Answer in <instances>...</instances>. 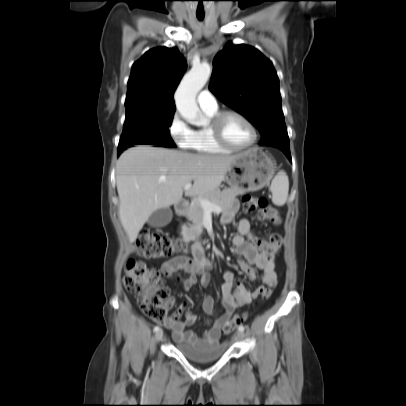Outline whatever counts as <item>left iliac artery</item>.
<instances>
[{"mask_svg":"<svg viewBox=\"0 0 406 406\" xmlns=\"http://www.w3.org/2000/svg\"><path fill=\"white\" fill-rule=\"evenodd\" d=\"M244 329H245V328H244L243 325H240V326L238 327V330H239V331H244Z\"/></svg>","mask_w":406,"mask_h":406,"instance_id":"1","label":"left iliac artery"}]
</instances>
